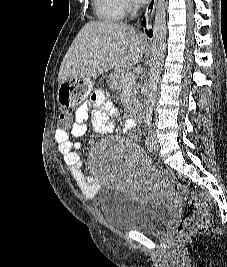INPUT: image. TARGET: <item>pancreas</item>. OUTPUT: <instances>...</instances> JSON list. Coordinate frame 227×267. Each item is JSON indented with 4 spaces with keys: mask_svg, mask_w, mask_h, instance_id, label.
I'll return each mask as SVG.
<instances>
[{
    "mask_svg": "<svg viewBox=\"0 0 227 267\" xmlns=\"http://www.w3.org/2000/svg\"><path fill=\"white\" fill-rule=\"evenodd\" d=\"M133 74L128 70H117L109 77V83L115 89H128L129 104L137 103L138 88L133 84L135 81L131 80Z\"/></svg>",
    "mask_w": 227,
    "mask_h": 267,
    "instance_id": "cf45deb5",
    "label": "pancreas"
}]
</instances>
